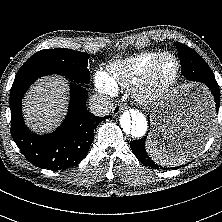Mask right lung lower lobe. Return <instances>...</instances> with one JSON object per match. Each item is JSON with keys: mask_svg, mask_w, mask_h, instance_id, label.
Instances as JSON below:
<instances>
[{"mask_svg": "<svg viewBox=\"0 0 222 222\" xmlns=\"http://www.w3.org/2000/svg\"><path fill=\"white\" fill-rule=\"evenodd\" d=\"M41 71L17 73L10 91L11 135L32 164L45 169L62 170L78 164L87 154L98 124L111 116L99 117L86 107L87 91L70 85V105L62 125L53 133L37 135L25 125L21 111L24 93L41 76Z\"/></svg>", "mask_w": 222, "mask_h": 222, "instance_id": "1", "label": "right lung lower lobe"}]
</instances>
